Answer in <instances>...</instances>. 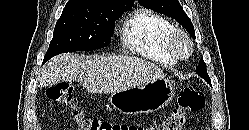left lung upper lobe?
I'll list each match as a JSON object with an SVG mask.
<instances>
[{
	"label": "left lung upper lobe",
	"instance_id": "5c2ea615",
	"mask_svg": "<svg viewBox=\"0 0 249 130\" xmlns=\"http://www.w3.org/2000/svg\"><path fill=\"white\" fill-rule=\"evenodd\" d=\"M138 2L145 8L165 14L175 19L186 29L192 38H196L193 24L184 12L178 0H138ZM196 73L211 85L203 58L200 60V63L196 68Z\"/></svg>",
	"mask_w": 249,
	"mask_h": 130
}]
</instances>
